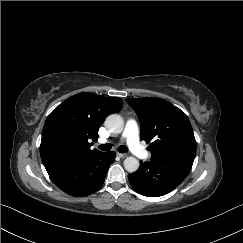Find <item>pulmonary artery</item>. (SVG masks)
<instances>
[{
	"label": "pulmonary artery",
	"instance_id": "obj_1",
	"mask_svg": "<svg viewBox=\"0 0 243 243\" xmlns=\"http://www.w3.org/2000/svg\"><path fill=\"white\" fill-rule=\"evenodd\" d=\"M122 138L126 140L127 145L131 149L132 153L141 159H148L149 153L143 148L139 140V125L136 120L129 119L126 122ZM100 144L107 143V140L100 139Z\"/></svg>",
	"mask_w": 243,
	"mask_h": 243
}]
</instances>
